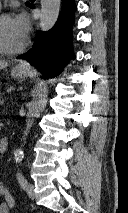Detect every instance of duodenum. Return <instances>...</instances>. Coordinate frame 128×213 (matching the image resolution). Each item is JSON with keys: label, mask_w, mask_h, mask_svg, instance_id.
<instances>
[{"label": "duodenum", "mask_w": 128, "mask_h": 213, "mask_svg": "<svg viewBox=\"0 0 128 213\" xmlns=\"http://www.w3.org/2000/svg\"><path fill=\"white\" fill-rule=\"evenodd\" d=\"M8 139L6 137H3L0 139V154H3L8 149Z\"/></svg>", "instance_id": "1"}]
</instances>
